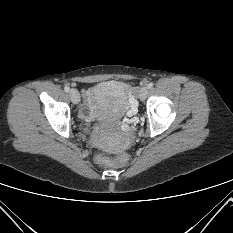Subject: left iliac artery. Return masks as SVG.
<instances>
[{"label": "left iliac artery", "instance_id": "obj_1", "mask_svg": "<svg viewBox=\"0 0 233 233\" xmlns=\"http://www.w3.org/2000/svg\"><path fill=\"white\" fill-rule=\"evenodd\" d=\"M148 88H149V89L153 88V83H149V84H148Z\"/></svg>", "mask_w": 233, "mask_h": 233}]
</instances>
